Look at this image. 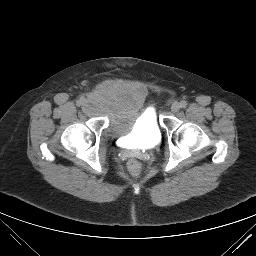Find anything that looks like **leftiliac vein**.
I'll return each mask as SVG.
<instances>
[{"instance_id": "left-iliac-vein-1", "label": "left iliac vein", "mask_w": 256, "mask_h": 256, "mask_svg": "<svg viewBox=\"0 0 256 256\" xmlns=\"http://www.w3.org/2000/svg\"><path fill=\"white\" fill-rule=\"evenodd\" d=\"M180 109V104L178 102H174L172 105H171V111L172 112H178Z\"/></svg>"}]
</instances>
